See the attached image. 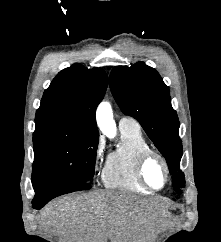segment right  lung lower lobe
<instances>
[{"label": "right lung lower lobe", "mask_w": 221, "mask_h": 242, "mask_svg": "<svg viewBox=\"0 0 221 242\" xmlns=\"http://www.w3.org/2000/svg\"><path fill=\"white\" fill-rule=\"evenodd\" d=\"M32 184L36 192L32 201L34 209H41L57 196L91 188L87 182L52 177L32 178Z\"/></svg>", "instance_id": "1"}]
</instances>
